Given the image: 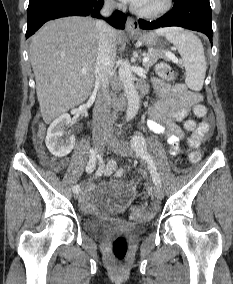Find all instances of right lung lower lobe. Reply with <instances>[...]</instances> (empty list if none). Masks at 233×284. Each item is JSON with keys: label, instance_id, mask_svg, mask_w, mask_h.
Wrapping results in <instances>:
<instances>
[{"label": "right lung lower lobe", "instance_id": "98d812e1", "mask_svg": "<svg viewBox=\"0 0 233 284\" xmlns=\"http://www.w3.org/2000/svg\"><path fill=\"white\" fill-rule=\"evenodd\" d=\"M104 0H30L27 10L26 38L35 33L45 22L65 16L100 18L99 10ZM127 16L115 11L106 21L115 28L124 29Z\"/></svg>", "mask_w": 233, "mask_h": 284}]
</instances>
